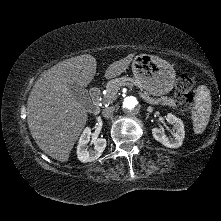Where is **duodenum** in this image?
Segmentation results:
<instances>
[{
  "instance_id": "duodenum-1",
  "label": "duodenum",
  "mask_w": 221,
  "mask_h": 221,
  "mask_svg": "<svg viewBox=\"0 0 221 221\" xmlns=\"http://www.w3.org/2000/svg\"><path fill=\"white\" fill-rule=\"evenodd\" d=\"M90 94H91V99L93 103V113L96 114L99 111L101 90L99 87H94L92 88Z\"/></svg>"
}]
</instances>
